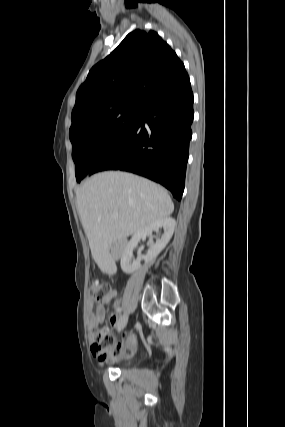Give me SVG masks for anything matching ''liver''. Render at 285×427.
Segmentation results:
<instances>
[{"label":"liver","mask_w":285,"mask_h":427,"mask_svg":"<svg viewBox=\"0 0 285 427\" xmlns=\"http://www.w3.org/2000/svg\"><path fill=\"white\" fill-rule=\"evenodd\" d=\"M77 210L92 257L102 266L112 263L110 248L118 240L169 217L174 204L161 186L134 174L107 171L76 189ZM117 212L116 217H111Z\"/></svg>","instance_id":"liver-1"}]
</instances>
